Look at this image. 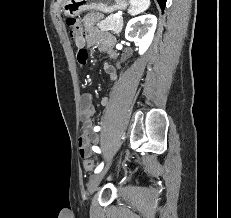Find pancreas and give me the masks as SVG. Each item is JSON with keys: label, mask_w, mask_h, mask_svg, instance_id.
<instances>
[{"label": "pancreas", "mask_w": 231, "mask_h": 218, "mask_svg": "<svg viewBox=\"0 0 231 218\" xmlns=\"http://www.w3.org/2000/svg\"><path fill=\"white\" fill-rule=\"evenodd\" d=\"M97 27L102 31H113L120 33L123 27V18H116L114 14L108 16L105 20L97 24Z\"/></svg>", "instance_id": "cf45deb5"}]
</instances>
